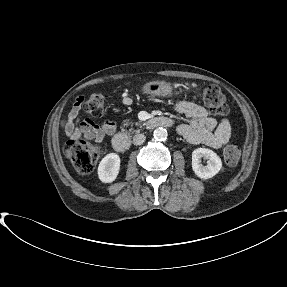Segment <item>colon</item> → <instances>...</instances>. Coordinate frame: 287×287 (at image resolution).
Here are the masks:
<instances>
[{"instance_id":"colon-1","label":"colon","mask_w":287,"mask_h":287,"mask_svg":"<svg viewBox=\"0 0 287 287\" xmlns=\"http://www.w3.org/2000/svg\"><path fill=\"white\" fill-rule=\"evenodd\" d=\"M203 101L211 114L226 115L229 112L225 95L215 85H209L204 88ZM77 103L86 113L94 118H100L106 113V97L102 93H93L86 98L82 97ZM66 148L79 174L90 173L96 166L102 153L99 146L79 136H70ZM223 156L227 164L235 165L240 160L241 149L237 145H227L224 148Z\"/></svg>"}]
</instances>
